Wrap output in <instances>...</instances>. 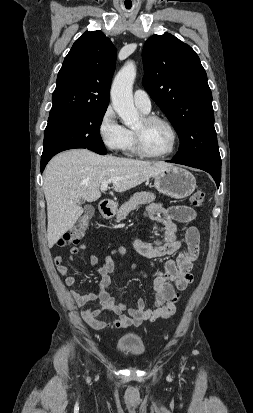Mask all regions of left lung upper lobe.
Segmentation results:
<instances>
[{
  "label": "left lung upper lobe",
  "mask_w": 253,
  "mask_h": 413,
  "mask_svg": "<svg viewBox=\"0 0 253 413\" xmlns=\"http://www.w3.org/2000/svg\"><path fill=\"white\" fill-rule=\"evenodd\" d=\"M143 85L180 139V161L221 162L212 93L195 51L175 36L153 35L144 44Z\"/></svg>",
  "instance_id": "5c2ea615"
}]
</instances>
